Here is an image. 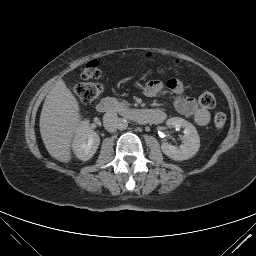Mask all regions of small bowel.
<instances>
[{"mask_svg":"<svg viewBox=\"0 0 256 256\" xmlns=\"http://www.w3.org/2000/svg\"><path fill=\"white\" fill-rule=\"evenodd\" d=\"M169 89L177 93V97L174 99V107L176 111L184 116L193 117L194 121L200 125L205 126L210 122V113L207 109L199 106L196 100L192 97L183 94V85L176 79H170L166 82ZM164 83L158 79L150 80L144 86V94L148 97H154L161 93L164 89ZM164 119V114L159 111Z\"/></svg>","mask_w":256,"mask_h":256,"instance_id":"c3829d8e","label":"small bowel"}]
</instances>
